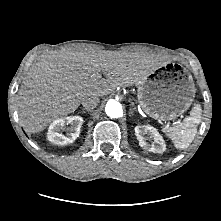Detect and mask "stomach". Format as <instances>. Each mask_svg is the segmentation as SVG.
<instances>
[{
  "label": "stomach",
  "mask_w": 221,
  "mask_h": 221,
  "mask_svg": "<svg viewBox=\"0 0 221 221\" xmlns=\"http://www.w3.org/2000/svg\"><path fill=\"white\" fill-rule=\"evenodd\" d=\"M196 88L189 73L157 68L137 83V98L145 113L166 121L182 115L192 104Z\"/></svg>",
  "instance_id": "stomach-1"
}]
</instances>
